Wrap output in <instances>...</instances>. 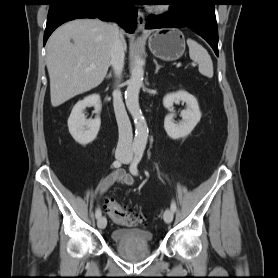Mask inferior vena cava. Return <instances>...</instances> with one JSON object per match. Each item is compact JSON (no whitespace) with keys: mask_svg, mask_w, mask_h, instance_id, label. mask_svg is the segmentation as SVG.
<instances>
[{"mask_svg":"<svg viewBox=\"0 0 278 278\" xmlns=\"http://www.w3.org/2000/svg\"><path fill=\"white\" fill-rule=\"evenodd\" d=\"M124 46L119 30L116 27L115 37L111 46L110 64L117 78L122 75L124 67ZM113 106L119 129V140L116 151L119 153L132 154V127L128 118L125 106L122 100V95L119 89L113 92Z\"/></svg>","mask_w":278,"mask_h":278,"instance_id":"1","label":"inferior vena cava"}]
</instances>
